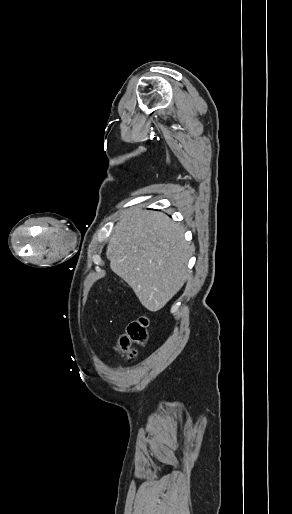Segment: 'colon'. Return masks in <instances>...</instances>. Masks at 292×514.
<instances>
[{"mask_svg": "<svg viewBox=\"0 0 292 514\" xmlns=\"http://www.w3.org/2000/svg\"><path fill=\"white\" fill-rule=\"evenodd\" d=\"M150 319L148 317H140L133 321L127 330V334L122 335L117 342V350L125 353L128 359H133L136 352L131 349L132 344L144 345L148 338V329L150 328Z\"/></svg>", "mask_w": 292, "mask_h": 514, "instance_id": "obj_1", "label": "colon"}]
</instances>
